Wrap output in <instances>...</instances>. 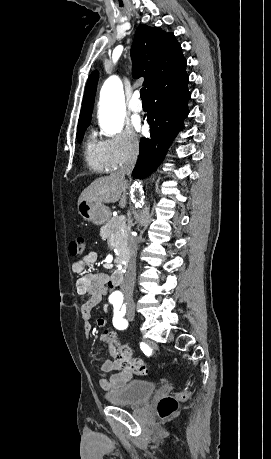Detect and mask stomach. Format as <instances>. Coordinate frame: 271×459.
Listing matches in <instances>:
<instances>
[{"instance_id": "1", "label": "stomach", "mask_w": 271, "mask_h": 459, "mask_svg": "<svg viewBox=\"0 0 271 459\" xmlns=\"http://www.w3.org/2000/svg\"><path fill=\"white\" fill-rule=\"evenodd\" d=\"M78 214L87 220L92 222L96 226L100 224H106L111 218V212L107 206H103L101 202H81L78 206Z\"/></svg>"}]
</instances>
